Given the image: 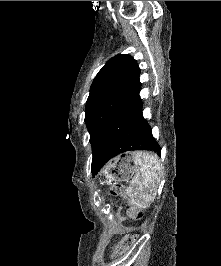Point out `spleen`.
I'll return each instance as SVG.
<instances>
[{
	"label": "spleen",
	"mask_w": 221,
	"mask_h": 266,
	"mask_svg": "<svg viewBox=\"0 0 221 266\" xmlns=\"http://www.w3.org/2000/svg\"><path fill=\"white\" fill-rule=\"evenodd\" d=\"M133 155L139 170L132 179L127 193L136 205L143 206L153 199L161 181L162 168L157 156L151 153L137 151Z\"/></svg>",
	"instance_id": "spleen-1"
}]
</instances>
